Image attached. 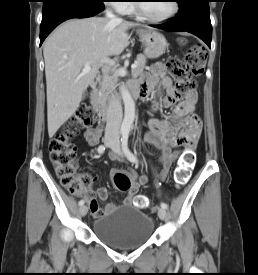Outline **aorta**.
<instances>
[{
    "label": "aorta",
    "instance_id": "aorta-1",
    "mask_svg": "<svg viewBox=\"0 0 258 275\" xmlns=\"http://www.w3.org/2000/svg\"><path fill=\"white\" fill-rule=\"evenodd\" d=\"M120 92L124 102V111H125L124 119L121 124V132L128 134L130 132V129L133 125L134 118H135V103L125 86L122 85L120 87Z\"/></svg>",
    "mask_w": 258,
    "mask_h": 275
}]
</instances>
